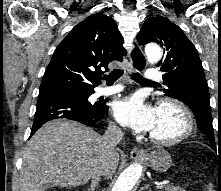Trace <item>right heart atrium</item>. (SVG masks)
<instances>
[{"label": "right heart atrium", "instance_id": "1", "mask_svg": "<svg viewBox=\"0 0 221 191\" xmlns=\"http://www.w3.org/2000/svg\"><path fill=\"white\" fill-rule=\"evenodd\" d=\"M111 130H112L113 132H115V133H119V132H120L119 127L116 126V125H114V124L111 125Z\"/></svg>", "mask_w": 221, "mask_h": 191}]
</instances>
